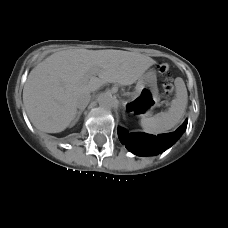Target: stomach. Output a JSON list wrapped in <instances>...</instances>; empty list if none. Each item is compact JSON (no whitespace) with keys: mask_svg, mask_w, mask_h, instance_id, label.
<instances>
[{"mask_svg":"<svg viewBox=\"0 0 228 228\" xmlns=\"http://www.w3.org/2000/svg\"><path fill=\"white\" fill-rule=\"evenodd\" d=\"M133 97L140 105L141 112L145 113L144 116L148 115L149 110L157 104L159 99L154 70L148 71L138 79Z\"/></svg>","mask_w":228,"mask_h":228,"instance_id":"obj_1","label":"stomach"}]
</instances>
